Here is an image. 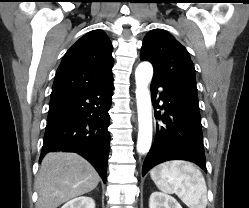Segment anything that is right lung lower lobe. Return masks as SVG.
Instances as JSON below:
<instances>
[{
    "instance_id": "1",
    "label": "right lung lower lobe",
    "mask_w": 249,
    "mask_h": 208,
    "mask_svg": "<svg viewBox=\"0 0 249 208\" xmlns=\"http://www.w3.org/2000/svg\"><path fill=\"white\" fill-rule=\"evenodd\" d=\"M113 88L112 78L92 89L51 98L40 160L52 151L79 153L106 182Z\"/></svg>"
}]
</instances>
